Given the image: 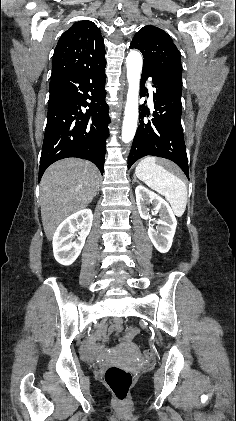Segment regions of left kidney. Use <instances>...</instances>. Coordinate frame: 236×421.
Returning <instances> with one entry per match:
<instances>
[{"mask_svg": "<svg viewBox=\"0 0 236 421\" xmlns=\"http://www.w3.org/2000/svg\"><path fill=\"white\" fill-rule=\"evenodd\" d=\"M135 194L141 219L153 221L157 225L156 229H154V225H149L148 237L151 243H153L159 253H168L173 243L177 225L171 206L159 194H156L153 190H149L146 186H142V184L136 186ZM147 204L154 206L153 211L154 213H159L160 219H157V221L151 219Z\"/></svg>", "mask_w": 236, "mask_h": 421, "instance_id": "obj_1", "label": "left kidney"}]
</instances>
